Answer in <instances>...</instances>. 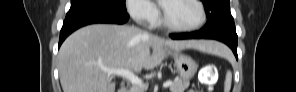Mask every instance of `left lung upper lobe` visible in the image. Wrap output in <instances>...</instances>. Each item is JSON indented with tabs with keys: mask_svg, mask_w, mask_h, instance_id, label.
<instances>
[{
	"mask_svg": "<svg viewBox=\"0 0 296 92\" xmlns=\"http://www.w3.org/2000/svg\"><path fill=\"white\" fill-rule=\"evenodd\" d=\"M207 14V23L201 29L205 33L221 30H235L234 19L230 12L229 0H201Z\"/></svg>",
	"mask_w": 296,
	"mask_h": 92,
	"instance_id": "left-lung-upper-lobe-1",
	"label": "left lung upper lobe"
}]
</instances>
